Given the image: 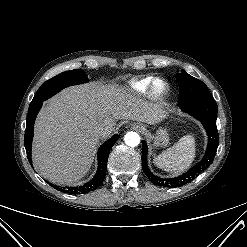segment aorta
Segmentation results:
<instances>
[{"label": "aorta", "instance_id": "obj_1", "mask_svg": "<svg viewBox=\"0 0 247 247\" xmlns=\"http://www.w3.org/2000/svg\"><path fill=\"white\" fill-rule=\"evenodd\" d=\"M124 141L126 145L135 147L140 143V136L138 133L131 131L125 135Z\"/></svg>", "mask_w": 247, "mask_h": 247}]
</instances>
